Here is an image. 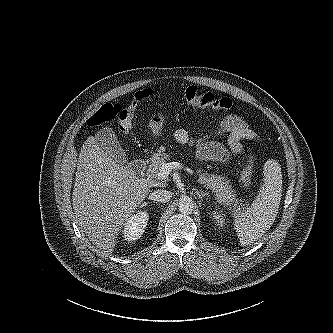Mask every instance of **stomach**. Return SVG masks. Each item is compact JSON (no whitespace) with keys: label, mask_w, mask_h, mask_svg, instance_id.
I'll list each match as a JSON object with an SVG mask.
<instances>
[{"label":"stomach","mask_w":333,"mask_h":333,"mask_svg":"<svg viewBox=\"0 0 333 333\" xmlns=\"http://www.w3.org/2000/svg\"><path fill=\"white\" fill-rule=\"evenodd\" d=\"M163 124L164 117L162 115H154L149 119V127L152 131V135L155 138L161 134Z\"/></svg>","instance_id":"obj_1"}]
</instances>
